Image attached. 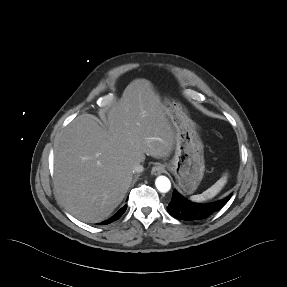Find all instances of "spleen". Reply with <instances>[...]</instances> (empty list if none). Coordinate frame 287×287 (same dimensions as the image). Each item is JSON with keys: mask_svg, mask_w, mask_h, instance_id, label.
<instances>
[{"mask_svg": "<svg viewBox=\"0 0 287 287\" xmlns=\"http://www.w3.org/2000/svg\"><path fill=\"white\" fill-rule=\"evenodd\" d=\"M227 182V174H224L215 184L201 194L193 195L190 199L194 202H202L215 197Z\"/></svg>", "mask_w": 287, "mask_h": 287, "instance_id": "spleen-1", "label": "spleen"}]
</instances>
